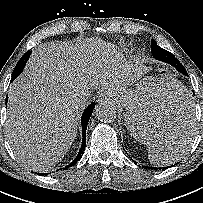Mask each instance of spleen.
<instances>
[{"instance_id": "3e777b00", "label": "spleen", "mask_w": 203, "mask_h": 203, "mask_svg": "<svg viewBox=\"0 0 203 203\" xmlns=\"http://www.w3.org/2000/svg\"><path fill=\"white\" fill-rule=\"evenodd\" d=\"M190 96L187 89L180 82L174 79H160L150 83L138 102L135 113L127 122L128 129L133 137L148 145V158L152 164L157 166L171 165L188 152L191 138L187 137L183 143L169 139L158 144L155 136L150 138L149 131L158 125V122L156 125H152L151 116L156 113L158 121L167 111H174L178 116L187 119L186 122L191 124L192 128V102ZM145 136H148V139H145Z\"/></svg>"}]
</instances>
